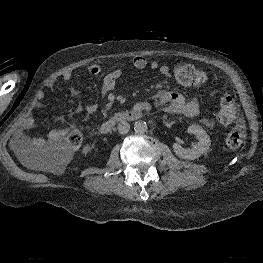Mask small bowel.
Masks as SVG:
<instances>
[{"instance_id": "small-bowel-1", "label": "small bowel", "mask_w": 263, "mask_h": 263, "mask_svg": "<svg viewBox=\"0 0 263 263\" xmlns=\"http://www.w3.org/2000/svg\"><path fill=\"white\" fill-rule=\"evenodd\" d=\"M132 65L135 69L143 70L149 69L152 72L164 77L172 78L173 72L167 65H162L157 61L148 62L144 57L137 56L133 59ZM87 71L91 75H98L101 73L102 69L98 64H91L87 67ZM124 71L121 69H115L105 75L101 92L107 94L114 90L117 82L123 77ZM61 79L68 82L72 79V74L70 72H65L62 74ZM50 83L49 86H52ZM74 93L75 91L72 90ZM44 98V92L39 91L37 94L38 101ZM155 107L163 108V110L170 114H181L187 117H196L200 114V106L196 100H187L185 96L180 92H167L163 91L159 93L153 104ZM86 113H93L98 109L97 104H91L81 107ZM202 123L206 126H212L213 122L209 118H203ZM34 124V119L31 116L25 118L23 122V131L29 130ZM69 129L67 128H55L52 129L46 137H30L22 132L19 135L21 141L29 144L30 146L42 150L56 148L61 145L63 140L66 138Z\"/></svg>"}]
</instances>
